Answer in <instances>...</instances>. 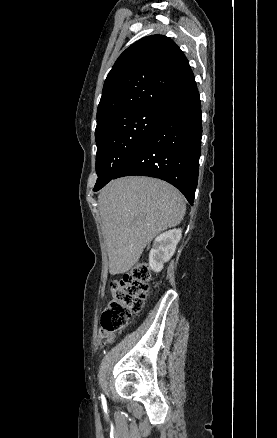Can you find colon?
I'll return each mask as SVG.
<instances>
[{"instance_id": "5ec220e1", "label": "colon", "mask_w": 277, "mask_h": 438, "mask_svg": "<svg viewBox=\"0 0 277 438\" xmlns=\"http://www.w3.org/2000/svg\"><path fill=\"white\" fill-rule=\"evenodd\" d=\"M147 277V267L137 266L129 275L114 282L109 305L99 321V332L123 329L141 311L150 292Z\"/></svg>"}]
</instances>
